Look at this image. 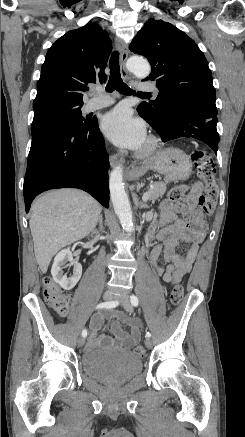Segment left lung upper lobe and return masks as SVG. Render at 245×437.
<instances>
[{"mask_svg": "<svg viewBox=\"0 0 245 437\" xmlns=\"http://www.w3.org/2000/svg\"><path fill=\"white\" fill-rule=\"evenodd\" d=\"M129 49L145 56L152 70L146 79L155 80L156 100L141 103L142 114L160 115L168 103L190 100L217 112L216 91L208 62L197 44L168 22L149 19Z\"/></svg>", "mask_w": 245, "mask_h": 437, "instance_id": "1", "label": "left lung upper lobe"}]
</instances>
